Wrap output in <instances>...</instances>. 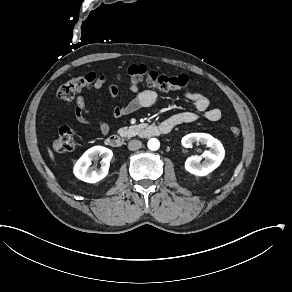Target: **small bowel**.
Masks as SVG:
<instances>
[{
	"label": "small bowel",
	"mask_w": 292,
	"mask_h": 292,
	"mask_svg": "<svg viewBox=\"0 0 292 292\" xmlns=\"http://www.w3.org/2000/svg\"><path fill=\"white\" fill-rule=\"evenodd\" d=\"M106 83V76L100 75L98 76L93 87L96 91H99L106 85ZM129 91L131 94L130 100L123 105H116L113 108V112L116 117L126 116L140 109L151 107L157 102L159 98L157 92L153 90H139L138 87L134 84L130 86ZM109 94L112 98H115L117 96V89L113 86H110ZM185 97L194 105L198 112L203 113L207 120L211 122H217L221 119V109L217 107H211L210 100L206 96L197 92H187ZM74 114L76 120L79 123L94 124L99 128L102 135H108L110 131L108 122L102 117H95L91 115L83 95H77L75 98ZM198 118L199 115L197 112L183 111L168 116L165 120L162 121L161 124L168 123L172 128H174L182 124L192 123Z\"/></svg>",
	"instance_id": "1"
}]
</instances>
